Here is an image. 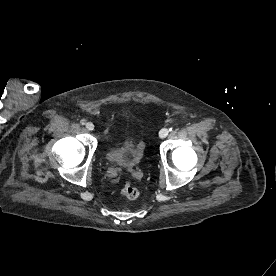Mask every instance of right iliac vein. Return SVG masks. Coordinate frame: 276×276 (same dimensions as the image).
I'll list each match as a JSON object with an SVG mask.
<instances>
[{
    "label": "right iliac vein",
    "mask_w": 276,
    "mask_h": 276,
    "mask_svg": "<svg viewBox=\"0 0 276 276\" xmlns=\"http://www.w3.org/2000/svg\"><path fill=\"white\" fill-rule=\"evenodd\" d=\"M85 126L88 131L94 130V124L92 122H87Z\"/></svg>",
    "instance_id": "1"
}]
</instances>
